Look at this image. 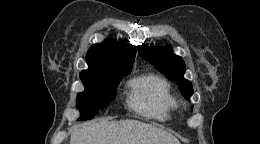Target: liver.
<instances>
[{"mask_svg":"<svg viewBox=\"0 0 260 144\" xmlns=\"http://www.w3.org/2000/svg\"><path fill=\"white\" fill-rule=\"evenodd\" d=\"M70 144H180L171 133L138 120L82 124Z\"/></svg>","mask_w":260,"mask_h":144,"instance_id":"1","label":"liver"}]
</instances>
